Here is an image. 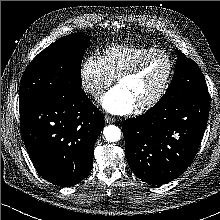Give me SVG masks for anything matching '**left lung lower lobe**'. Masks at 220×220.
Returning a JSON list of instances; mask_svg holds the SVG:
<instances>
[{
	"label": "left lung lower lobe",
	"mask_w": 220,
	"mask_h": 220,
	"mask_svg": "<svg viewBox=\"0 0 220 220\" xmlns=\"http://www.w3.org/2000/svg\"><path fill=\"white\" fill-rule=\"evenodd\" d=\"M209 115V94L152 107L122 124L128 164L153 185L184 173L198 152Z\"/></svg>",
	"instance_id": "0a47b994"
}]
</instances>
